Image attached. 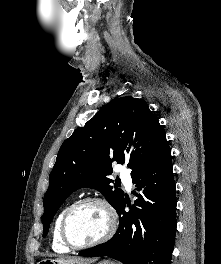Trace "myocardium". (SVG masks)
Returning <instances> with one entry per match:
<instances>
[{
	"label": "myocardium",
	"instance_id": "1",
	"mask_svg": "<svg viewBox=\"0 0 221 264\" xmlns=\"http://www.w3.org/2000/svg\"><path fill=\"white\" fill-rule=\"evenodd\" d=\"M84 204H97L102 209L105 211L107 218H108V227L106 232L102 237L99 239L86 243V244H75L69 237L68 234V223L70 216L72 213L80 206ZM118 226V217L115 209L113 206L105 199L100 198V197H85L82 199L77 200L73 204H71L66 211L63 214L62 220H61V225H60V236L62 239V242L69 248L73 250H82V249H87V248H92L98 245H101L105 242H107L116 232Z\"/></svg>",
	"mask_w": 221,
	"mask_h": 264
}]
</instances>
